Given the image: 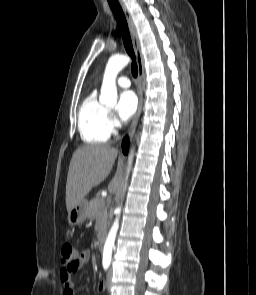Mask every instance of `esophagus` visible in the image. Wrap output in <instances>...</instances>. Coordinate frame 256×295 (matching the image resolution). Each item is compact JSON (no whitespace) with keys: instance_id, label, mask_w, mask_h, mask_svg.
<instances>
[{"instance_id":"esophagus-1","label":"esophagus","mask_w":256,"mask_h":295,"mask_svg":"<svg viewBox=\"0 0 256 295\" xmlns=\"http://www.w3.org/2000/svg\"><path fill=\"white\" fill-rule=\"evenodd\" d=\"M121 7L123 9V12L125 14L126 20L128 22L130 34H131V39H132V44H133V49L134 53L136 56L137 60V66H138V82H137V93H138V108L137 111L134 115L133 121L130 125V128L127 132L128 135L133 134V132L136 129L139 116L142 110V82H143V76H144V66H143V56L140 50V43H139V38L136 30V26L133 22L132 16L130 12L127 10L126 6L121 2Z\"/></svg>"}]
</instances>
